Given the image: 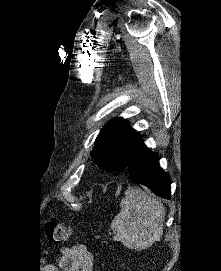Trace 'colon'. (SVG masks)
<instances>
[{
    "mask_svg": "<svg viewBox=\"0 0 221 271\" xmlns=\"http://www.w3.org/2000/svg\"><path fill=\"white\" fill-rule=\"evenodd\" d=\"M51 238L56 243H63L69 237V228L65 222L50 219L47 223Z\"/></svg>",
    "mask_w": 221,
    "mask_h": 271,
    "instance_id": "colon-1",
    "label": "colon"
}]
</instances>
